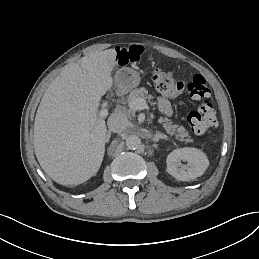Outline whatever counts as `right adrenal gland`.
Listing matches in <instances>:
<instances>
[{"label":"right adrenal gland","mask_w":259,"mask_h":259,"mask_svg":"<svg viewBox=\"0 0 259 259\" xmlns=\"http://www.w3.org/2000/svg\"><path fill=\"white\" fill-rule=\"evenodd\" d=\"M110 137H111V132H110V131H108V132H107V136H106V140H105V142H106V143H108V142H109Z\"/></svg>","instance_id":"1"}]
</instances>
